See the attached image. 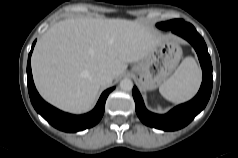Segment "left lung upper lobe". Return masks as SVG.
Instances as JSON below:
<instances>
[{"instance_id":"1","label":"left lung upper lobe","mask_w":238,"mask_h":158,"mask_svg":"<svg viewBox=\"0 0 238 158\" xmlns=\"http://www.w3.org/2000/svg\"><path fill=\"white\" fill-rule=\"evenodd\" d=\"M169 22V21H168ZM168 22H162V23H159L157 24V27L161 28V29H167V27L165 26ZM184 23L183 20H176V24H182Z\"/></svg>"}]
</instances>
